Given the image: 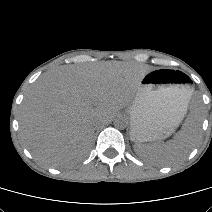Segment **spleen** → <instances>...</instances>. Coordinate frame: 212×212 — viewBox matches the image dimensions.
<instances>
[{
    "instance_id": "obj_1",
    "label": "spleen",
    "mask_w": 212,
    "mask_h": 212,
    "mask_svg": "<svg viewBox=\"0 0 212 212\" xmlns=\"http://www.w3.org/2000/svg\"><path fill=\"white\" fill-rule=\"evenodd\" d=\"M199 124L187 121L182 130L166 143L136 144L135 152L155 165H172L186 158L199 135Z\"/></svg>"
}]
</instances>
